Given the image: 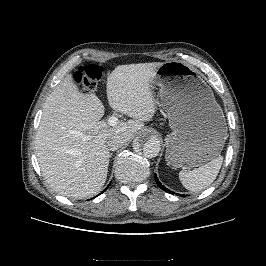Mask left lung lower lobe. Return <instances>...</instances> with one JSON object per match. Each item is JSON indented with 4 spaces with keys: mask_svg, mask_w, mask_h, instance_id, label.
Masks as SVG:
<instances>
[{
    "mask_svg": "<svg viewBox=\"0 0 266 266\" xmlns=\"http://www.w3.org/2000/svg\"><path fill=\"white\" fill-rule=\"evenodd\" d=\"M155 181H156L157 185H158L162 190H164V191L167 192V193L174 194V192L170 191L169 189H167L166 187H164V186L160 183V181L158 180L156 174H155ZM177 195H179V196H183V197L185 196V195H180V194H177Z\"/></svg>",
    "mask_w": 266,
    "mask_h": 266,
    "instance_id": "1",
    "label": "left lung lower lobe"
}]
</instances>
